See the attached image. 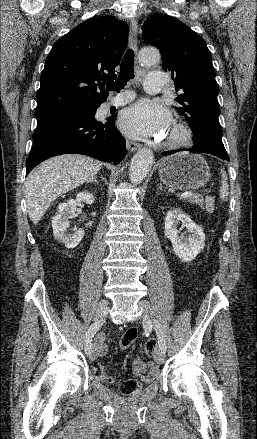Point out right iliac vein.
Instances as JSON below:
<instances>
[{
    "label": "right iliac vein",
    "mask_w": 257,
    "mask_h": 439,
    "mask_svg": "<svg viewBox=\"0 0 257 439\" xmlns=\"http://www.w3.org/2000/svg\"><path fill=\"white\" fill-rule=\"evenodd\" d=\"M107 313H108V302L106 300H102L98 305L96 314L94 316V320L99 321L103 319L107 315ZM88 357L90 360L96 359L95 344L93 345L92 351L91 353H89Z\"/></svg>",
    "instance_id": "right-iliac-vein-1"
}]
</instances>
